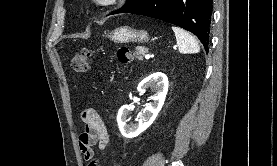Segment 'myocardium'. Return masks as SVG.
<instances>
[{
	"label": "myocardium",
	"mask_w": 277,
	"mask_h": 166,
	"mask_svg": "<svg viewBox=\"0 0 277 166\" xmlns=\"http://www.w3.org/2000/svg\"><path fill=\"white\" fill-rule=\"evenodd\" d=\"M122 0H89L88 4L90 7L98 9L114 6L120 3Z\"/></svg>",
	"instance_id": "f54148a6"
}]
</instances>
